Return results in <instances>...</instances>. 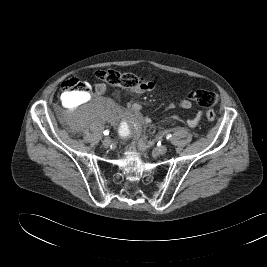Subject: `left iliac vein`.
I'll use <instances>...</instances> for the list:
<instances>
[{
	"mask_svg": "<svg viewBox=\"0 0 267 267\" xmlns=\"http://www.w3.org/2000/svg\"><path fill=\"white\" fill-rule=\"evenodd\" d=\"M155 152L159 155H163L167 152V146L166 145H161V146H158L156 149H155Z\"/></svg>",
	"mask_w": 267,
	"mask_h": 267,
	"instance_id": "obj_1",
	"label": "left iliac vein"
}]
</instances>
